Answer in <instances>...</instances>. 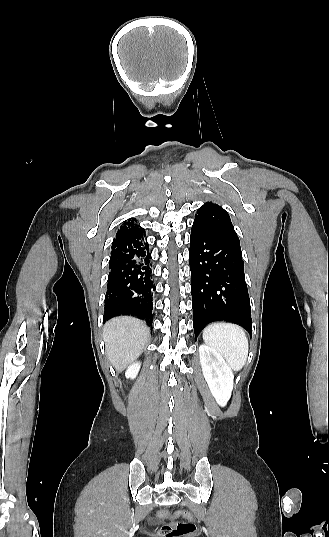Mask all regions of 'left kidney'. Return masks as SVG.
<instances>
[{"label": "left kidney", "instance_id": "left-kidney-1", "mask_svg": "<svg viewBox=\"0 0 329 537\" xmlns=\"http://www.w3.org/2000/svg\"><path fill=\"white\" fill-rule=\"evenodd\" d=\"M199 357L208 387L217 403L224 407L233 390V372L224 358L211 347L200 345Z\"/></svg>", "mask_w": 329, "mask_h": 537}]
</instances>
